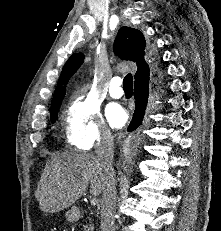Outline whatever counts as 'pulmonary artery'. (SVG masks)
Instances as JSON below:
<instances>
[{"label": "pulmonary artery", "mask_w": 221, "mask_h": 231, "mask_svg": "<svg viewBox=\"0 0 221 231\" xmlns=\"http://www.w3.org/2000/svg\"><path fill=\"white\" fill-rule=\"evenodd\" d=\"M122 80L120 77H114L110 82L109 94L112 98L119 99L123 96L121 87Z\"/></svg>", "instance_id": "obj_1"}]
</instances>
